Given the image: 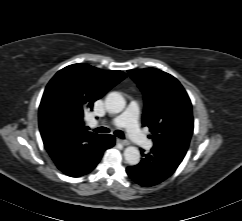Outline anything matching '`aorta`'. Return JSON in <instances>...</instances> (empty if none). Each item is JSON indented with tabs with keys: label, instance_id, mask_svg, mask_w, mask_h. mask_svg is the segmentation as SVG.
I'll return each mask as SVG.
<instances>
[{
	"label": "aorta",
	"instance_id": "762f6f07",
	"mask_svg": "<svg viewBox=\"0 0 242 221\" xmlns=\"http://www.w3.org/2000/svg\"><path fill=\"white\" fill-rule=\"evenodd\" d=\"M106 105L111 113H120L126 105L124 97L118 92H111L106 97ZM124 158L130 165L140 162V151L137 147L128 146L124 150Z\"/></svg>",
	"mask_w": 242,
	"mask_h": 221
}]
</instances>
